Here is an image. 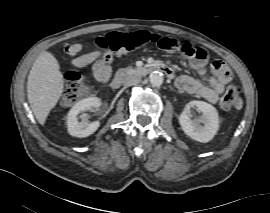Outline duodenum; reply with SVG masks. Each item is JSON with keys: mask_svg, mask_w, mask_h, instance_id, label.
I'll return each mask as SVG.
<instances>
[{"mask_svg": "<svg viewBox=\"0 0 270 213\" xmlns=\"http://www.w3.org/2000/svg\"><path fill=\"white\" fill-rule=\"evenodd\" d=\"M153 71H158L166 75L168 78H173L174 73L170 70L169 66L165 63H156L152 64L147 67H143L140 69L141 74H148ZM126 76H128V72L126 70H121L118 72V74L111 80L110 82V88L115 90L117 89L120 84L122 79H124Z\"/></svg>", "mask_w": 270, "mask_h": 213, "instance_id": "410a0bca", "label": "duodenum"}]
</instances>
